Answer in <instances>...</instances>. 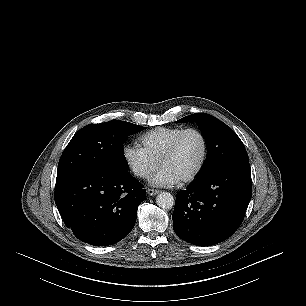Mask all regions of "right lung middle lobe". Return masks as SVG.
<instances>
[{
  "instance_id": "right-lung-middle-lobe-1",
  "label": "right lung middle lobe",
  "mask_w": 306,
  "mask_h": 306,
  "mask_svg": "<svg viewBox=\"0 0 306 306\" xmlns=\"http://www.w3.org/2000/svg\"><path fill=\"white\" fill-rule=\"evenodd\" d=\"M142 129L144 127L120 120L83 127L63 151L57 179L85 169L128 171L123 143L127 136Z\"/></svg>"
}]
</instances>
